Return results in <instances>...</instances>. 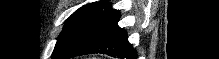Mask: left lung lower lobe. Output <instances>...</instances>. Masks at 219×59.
Listing matches in <instances>:
<instances>
[{
    "mask_svg": "<svg viewBox=\"0 0 219 59\" xmlns=\"http://www.w3.org/2000/svg\"><path fill=\"white\" fill-rule=\"evenodd\" d=\"M120 12L108 6L91 34L66 58L102 53L121 59H136L137 52L127 40V32L118 26Z\"/></svg>",
    "mask_w": 219,
    "mask_h": 59,
    "instance_id": "1",
    "label": "left lung lower lobe"
}]
</instances>
